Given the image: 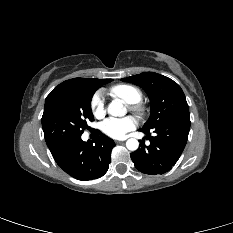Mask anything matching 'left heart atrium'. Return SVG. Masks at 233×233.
Listing matches in <instances>:
<instances>
[{
	"instance_id": "1",
	"label": "left heart atrium",
	"mask_w": 233,
	"mask_h": 233,
	"mask_svg": "<svg viewBox=\"0 0 233 233\" xmlns=\"http://www.w3.org/2000/svg\"><path fill=\"white\" fill-rule=\"evenodd\" d=\"M136 125V120L130 116L122 119L109 118L102 123L101 129L111 138L122 139L128 132L135 129Z\"/></svg>"
}]
</instances>
